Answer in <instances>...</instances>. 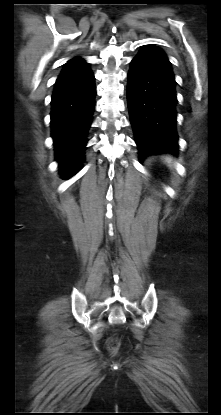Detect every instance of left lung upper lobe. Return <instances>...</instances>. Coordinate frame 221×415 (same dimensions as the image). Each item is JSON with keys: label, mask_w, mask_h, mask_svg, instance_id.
<instances>
[{"label": "left lung upper lobe", "mask_w": 221, "mask_h": 415, "mask_svg": "<svg viewBox=\"0 0 221 415\" xmlns=\"http://www.w3.org/2000/svg\"><path fill=\"white\" fill-rule=\"evenodd\" d=\"M138 55H147L151 56L164 65H166L169 69H171V63L169 62L166 54L158 47L153 45L144 46L138 53ZM172 70V69H171Z\"/></svg>", "instance_id": "1"}]
</instances>
